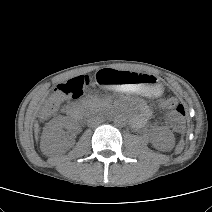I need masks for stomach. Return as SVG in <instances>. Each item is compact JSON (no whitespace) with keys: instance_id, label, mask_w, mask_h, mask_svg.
Here are the masks:
<instances>
[{"instance_id":"0dacf381","label":"stomach","mask_w":212,"mask_h":212,"mask_svg":"<svg viewBox=\"0 0 212 212\" xmlns=\"http://www.w3.org/2000/svg\"><path fill=\"white\" fill-rule=\"evenodd\" d=\"M94 80L99 85L114 88L129 93H140L145 96H160L162 86L157 78L129 71H120L111 67L99 70L94 75Z\"/></svg>"}]
</instances>
